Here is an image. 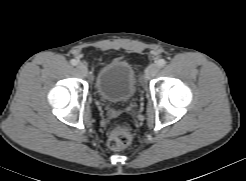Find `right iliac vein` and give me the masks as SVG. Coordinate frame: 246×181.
I'll return each instance as SVG.
<instances>
[{
    "mask_svg": "<svg viewBox=\"0 0 246 181\" xmlns=\"http://www.w3.org/2000/svg\"><path fill=\"white\" fill-rule=\"evenodd\" d=\"M77 69L83 75H86L88 73L87 66L85 64H83V63H79L77 65Z\"/></svg>",
    "mask_w": 246,
    "mask_h": 181,
    "instance_id": "right-iliac-vein-1",
    "label": "right iliac vein"
}]
</instances>
